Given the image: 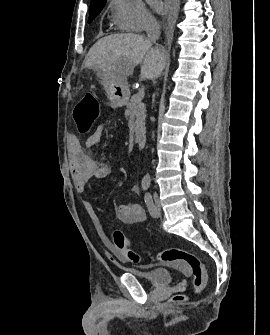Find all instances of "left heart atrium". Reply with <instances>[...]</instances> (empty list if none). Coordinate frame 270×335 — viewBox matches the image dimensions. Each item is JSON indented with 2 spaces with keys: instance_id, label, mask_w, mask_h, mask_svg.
Wrapping results in <instances>:
<instances>
[{
  "instance_id": "1",
  "label": "left heart atrium",
  "mask_w": 270,
  "mask_h": 335,
  "mask_svg": "<svg viewBox=\"0 0 270 335\" xmlns=\"http://www.w3.org/2000/svg\"><path fill=\"white\" fill-rule=\"evenodd\" d=\"M155 8H156L157 10H159V8H158V6H157V5H155Z\"/></svg>"
}]
</instances>
